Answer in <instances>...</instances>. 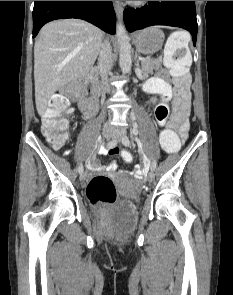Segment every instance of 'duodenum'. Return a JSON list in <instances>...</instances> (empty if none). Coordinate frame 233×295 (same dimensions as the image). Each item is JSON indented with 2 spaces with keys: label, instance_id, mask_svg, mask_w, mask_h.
<instances>
[{
  "label": "duodenum",
  "instance_id": "410a0bca",
  "mask_svg": "<svg viewBox=\"0 0 233 295\" xmlns=\"http://www.w3.org/2000/svg\"><path fill=\"white\" fill-rule=\"evenodd\" d=\"M97 69H92L85 77V86L79 99V108L84 114H92L96 111L99 102L97 87Z\"/></svg>",
  "mask_w": 233,
  "mask_h": 295
}]
</instances>
